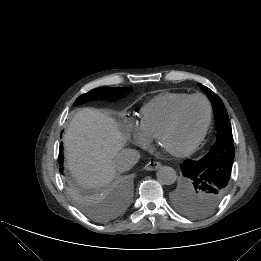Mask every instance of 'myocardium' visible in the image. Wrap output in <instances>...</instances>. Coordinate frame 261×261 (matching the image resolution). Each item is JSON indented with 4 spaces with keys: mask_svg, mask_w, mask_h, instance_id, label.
<instances>
[{
    "mask_svg": "<svg viewBox=\"0 0 261 261\" xmlns=\"http://www.w3.org/2000/svg\"><path fill=\"white\" fill-rule=\"evenodd\" d=\"M195 99L203 100L207 106L206 122H205V125H204L201 133L190 145H188L187 147L182 148L180 150L171 151V153L177 157H185V156L192 154L201 145V143L203 142V140L205 139V137L208 133V130L210 128L211 121H212L213 109H212V105H211L209 99L206 96H204L202 94H193V95H190L189 97H187L186 99H184L182 102H180L176 106V108L173 110L170 117L168 118L166 123L163 125V127L160 129V131L156 137L157 142L162 145V139H163L164 135L176 124L177 119H178L182 109L186 106V104H188L190 101L195 100Z\"/></svg>",
    "mask_w": 261,
    "mask_h": 261,
    "instance_id": "1",
    "label": "myocardium"
}]
</instances>
